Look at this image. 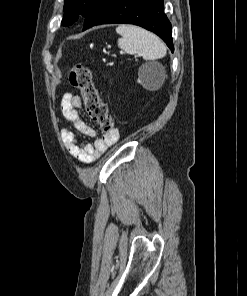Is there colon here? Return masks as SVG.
<instances>
[{
	"instance_id": "5ec220e1",
	"label": "colon",
	"mask_w": 247,
	"mask_h": 296,
	"mask_svg": "<svg viewBox=\"0 0 247 296\" xmlns=\"http://www.w3.org/2000/svg\"><path fill=\"white\" fill-rule=\"evenodd\" d=\"M68 78L70 84L80 90L88 116L96 121L104 132H112L114 121L93 83L91 70L83 64H76L69 70Z\"/></svg>"
}]
</instances>
